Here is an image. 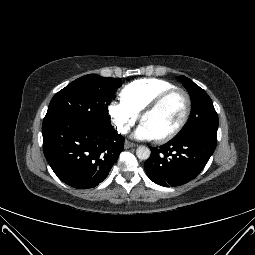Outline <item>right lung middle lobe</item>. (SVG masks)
I'll return each mask as SVG.
<instances>
[{"mask_svg": "<svg viewBox=\"0 0 255 255\" xmlns=\"http://www.w3.org/2000/svg\"><path fill=\"white\" fill-rule=\"evenodd\" d=\"M121 82L88 74L71 82L52 98L45 121L72 118L97 129H110L108 105Z\"/></svg>", "mask_w": 255, "mask_h": 255, "instance_id": "obj_1", "label": "right lung middle lobe"}]
</instances>
